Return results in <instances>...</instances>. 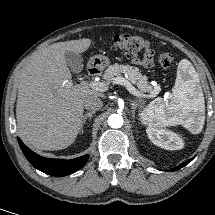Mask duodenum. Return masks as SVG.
Segmentation results:
<instances>
[{"label": "duodenum", "instance_id": "410a0bca", "mask_svg": "<svg viewBox=\"0 0 215 215\" xmlns=\"http://www.w3.org/2000/svg\"><path fill=\"white\" fill-rule=\"evenodd\" d=\"M87 71L88 74L91 76H95L98 74V70L94 66H90Z\"/></svg>", "mask_w": 215, "mask_h": 215}]
</instances>
